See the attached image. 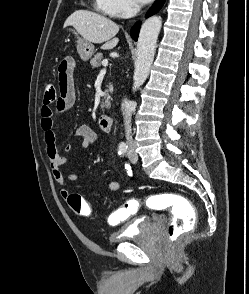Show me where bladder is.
I'll use <instances>...</instances> for the list:
<instances>
[{
  "label": "bladder",
  "instance_id": "bladder-1",
  "mask_svg": "<svg viewBox=\"0 0 249 294\" xmlns=\"http://www.w3.org/2000/svg\"><path fill=\"white\" fill-rule=\"evenodd\" d=\"M159 217L151 215L139 216L131 220L126 227L110 236L111 243H120L130 238H141L147 236Z\"/></svg>",
  "mask_w": 249,
  "mask_h": 294
}]
</instances>
